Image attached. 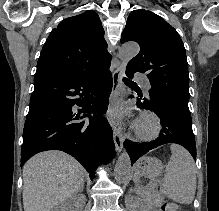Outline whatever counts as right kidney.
Listing matches in <instances>:
<instances>
[{
    "instance_id": "1",
    "label": "right kidney",
    "mask_w": 219,
    "mask_h": 211,
    "mask_svg": "<svg viewBox=\"0 0 219 211\" xmlns=\"http://www.w3.org/2000/svg\"><path fill=\"white\" fill-rule=\"evenodd\" d=\"M70 205H76V207H80L79 205V201H73V197L72 199H67L66 203H62V205H59L58 209H56V211H67V209H69ZM83 205V203H82ZM73 211H75V209H73Z\"/></svg>"
}]
</instances>
